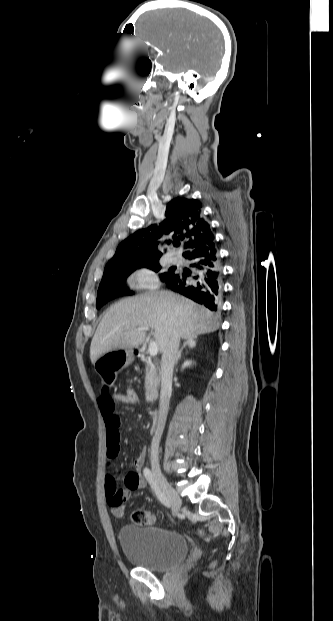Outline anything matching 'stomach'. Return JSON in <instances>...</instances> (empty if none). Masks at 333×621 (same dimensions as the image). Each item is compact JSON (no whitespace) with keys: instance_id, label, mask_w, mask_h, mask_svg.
I'll list each match as a JSON object with an SVG mask.
<instances>
[{"instance_id":"stomach-1","label":"stomach","mask_w":333,"mask_h":621,"mask_svg":"<svg viewBox=\"0 0 333 621\" xmlns=\"http://www.w3.org/2000/svg\"><path fill=\"white\" fill-rule=\"evenodd\" d=\"M133 360V350L113 347L94 363V369L101 378L112 381L117 372Z\"/></svg>"}]
</instances>
